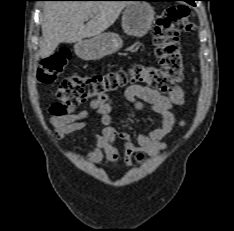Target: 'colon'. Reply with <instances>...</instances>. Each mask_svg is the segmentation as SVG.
Returning <instances> with one entry per match:
<instances>
[{
	"mask_svg": "<svg viewBox=\"0 0 234 231\" xmlns=\"http://www.w3.org/2000/svg\"><path fill=\"white\" fill-rule=\"evenodd\" d=\"M190 8L185 4L169 6L161 13L153 27V41L159 57L158 66L138 64L129 71H116L91 76L72 75L58 86L57 104L61 113H70L78 106L98 97L107 95L132 82L159 93L171 92L183 80L184 57L179 34L190 30ZM69 52L63 50L43 61L38 79L43 83L52 82L67 64Z\"/></svg>",
	"mask_w": 234,
	"mask_h": 231,
	"instance_id": "obj_1",
	"label": "colon"
}]
</instances>
